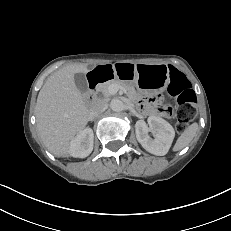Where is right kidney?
Returning <instances> with one entry per match:
<instances>
[{"label":"right kidney","mask_w":231,"mask_h":231,"mask_svg":"<svg viewBox=\"0 0 231 231\" xmlns=\"http://www.w3.org/2000/svg\"><path fill=\"white\" fill-rule=\"evenodd\" d=\"M94 134L91 128L80 131L70 143V155L85 158L93 150Z\"/></svg>","instance_id":"right-kidney-1"}]
</instances>
